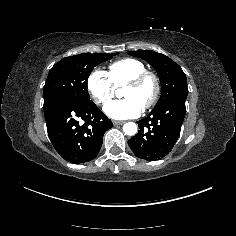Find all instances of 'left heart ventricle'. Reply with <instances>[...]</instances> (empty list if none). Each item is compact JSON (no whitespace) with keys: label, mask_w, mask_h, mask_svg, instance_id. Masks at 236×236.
Wrapping results in <instances>:
<instances>
[{"label":"left heart ventricle","mask_w":236,"mask_h":236,"mask_svg":"<svg viewBox=\"0 0 236 236\" xmlns=\"http://www.w3.org/2000/svg\"><path fill=\"white\" fill-rule=\"evenodd\" d=\"M152 92V84L149 80L143 82L136 87H128L122 90V96L130 98L144 106L150 98Z\"/></svg>","instance_id":"left-heart-ventricle-1"}]
</instances>
